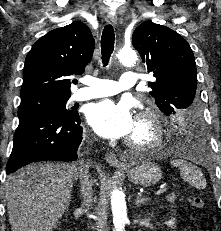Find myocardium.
Listing matches in <instances>:
<instances>
[{"label":"myocardium","instance_id":"obj_1","mask_svg":"<svg viewBox=\"0 0 221 231\" xmlns=\"http://www.w3.org/2000/svg\"><path fill=\"white\" fill-rule=\"evenodd\" d=\"M136 120L150 131V136L142 141L128 137L125 140V144L131 149L138 151L160 148L165 139V127L160 114L156 110L147 107L138 113Z\"/></svg>","mask_w":221,"mask_h":231}]
</instances>
